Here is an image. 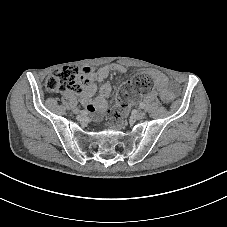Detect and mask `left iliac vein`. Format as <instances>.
Masks as SVG:
<instances>
[{
  "label": "left iliac vein",
  "instance_id": "left-iliac-vein-1",
  "mask_svg": "<svg viewBox=\"0 0 227 227\" xmlns=\"http://www.w3.org/2000/svg\"><path fill=\"white\" fill-rule=\"evenodd\" d=\"M146 116V113L145 111H136L134 114H133V117L136 119V120H142L144 119Z\"/></svg>",
  "mask_w": 227,
  "mask_h": 227
}]
</instances>
